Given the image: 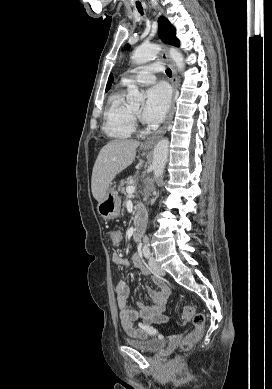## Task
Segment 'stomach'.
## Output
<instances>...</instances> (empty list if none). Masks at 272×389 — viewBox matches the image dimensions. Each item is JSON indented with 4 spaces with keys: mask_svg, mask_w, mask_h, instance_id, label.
Listing matches in <instances>:
<instances>
[{
    "mask_svg": "<svg viewBox=\"0 0 272 389\" xmlns=\"http://www.w3.org/2000/svg\"><path fill=\"white\" fill-rule=\"evenodd\" d=\"M121 199L114 188H109L106 196L97 205V212L104 219H114L120 214Z\"/></svg>",
    "mask_w": 272,
    "mask_h": 389,
    "instance_id": "0dacf381",
    "label": "stomach"
}]
</instances>
